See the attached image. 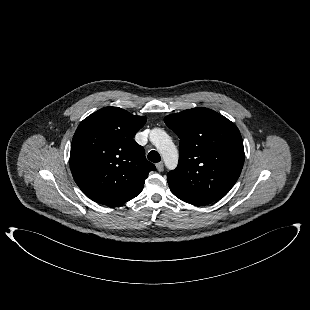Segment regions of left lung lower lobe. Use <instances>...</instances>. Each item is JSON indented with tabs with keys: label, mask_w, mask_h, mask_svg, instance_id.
Segmentation results:
<instances>
[{
	"label": "left lung lower lobe",
	"mask_w": 310,
	"mask_h": 310,
	"mask_svg": "<svg viewBox=\"0 0 310 310\" xmlns=\"http://www.w3.org/2000/svg\"><path fill=\"white\" fill-rule=\"evenodd\" d=\"M173 194L178 197L179 199H181L182 201L189 203V204H193V205H207L212 203V201H208L206 199H200V198H195L192 196H187V195H183L180 194L179 192L171 189Z\"/></svg>",
	"instance_id": "left-lung-lower-lobe-1"
}]
</instances>
